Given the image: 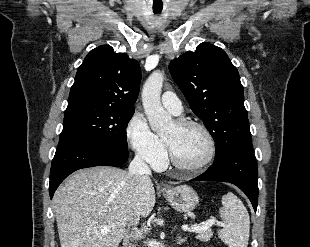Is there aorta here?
I'll list each match as a JSON object with an SVG mask.
<instances>
[{"label": "aorta", "mask_w": 310, "mask_h": 247, "mask_svg": "<svg viewBox=\"0 0 310 247\" xmlns=\"http://www.w3.org/2000/svg\"><path fill=\"white\" fill-rule=\"evenodd\" d=\"M164 81L163 73L154 71L146 80L142 90V103L150 127L155 132H163L172 124L171 116L164 110L160 101Z\"/></svg>", "instance_id": "obj_1"}]
</instances>
